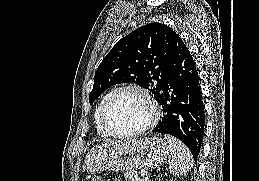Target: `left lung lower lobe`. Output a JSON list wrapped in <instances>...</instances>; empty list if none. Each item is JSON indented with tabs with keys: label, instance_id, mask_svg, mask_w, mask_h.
<instances>
[{
	"label": "left lung lower lobe",
	"instance_id": "1",
	"mask_svg": "<svg viewBox=\"0 0 259 181\" xmlns=\"http://www.w3.org/2000/svg\"><path fill=\"white\" fill-rule=\"evenodd\" d=\"M173 52L171 71L157 98L164 117L153 132L178 138L187 145L197 161L205 126L198 71L180 37L174 43Z\"/></svg>",
	"mask_w": 259,
	"mask_h": 181
}]
</instances>
